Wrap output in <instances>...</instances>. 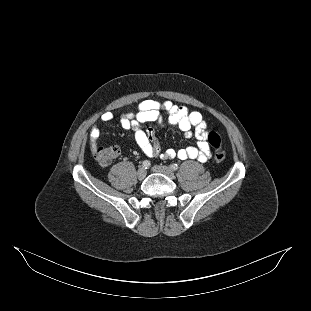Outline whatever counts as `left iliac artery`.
Segmentation results:
<instances>
[{
	"instance_id": "44dca946",
	"label": "left iliac artery",
	"mask_w": 311,
	"mask_h": 311,
	"mask_svg": "<svg viewBox=\"0 0 311 311\" xmlns=\"http://www.w3.org/2000/svg\"><path fill=\"white\" fill-rule=\"evenodd\" d=\"M170 168L172 169V170H174V171H176L177 169H178V165L177 164H171L170 165Z\"/></svg>"
}]
</instances>
